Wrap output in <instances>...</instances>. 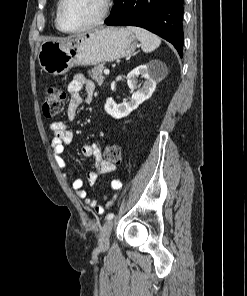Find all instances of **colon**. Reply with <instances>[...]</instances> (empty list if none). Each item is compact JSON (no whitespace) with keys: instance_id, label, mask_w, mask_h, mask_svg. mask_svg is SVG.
I'll use <instances>...</instances> for the list:
<instances>
[{"instance_id":"1","label":"colon","mask_w":247,"mask_h":296,"mask_svg":"<svg viewBox=\"0 0 247 296\" xmlns=\"http://www.w3.org/2000/svg\"><path fill=\"white\" fill-rule=\"evenodd\" d=\"M66 93L59 87L50 86L45 93L43 103V114L47 118L59 115L65 105ZM104 159L112 164H120L122 160L121 149L113 143H106L104 146Z\"/></svg>"}]
</instances>
